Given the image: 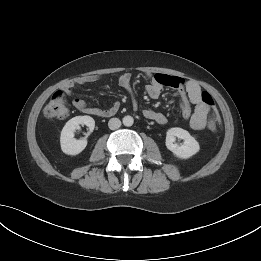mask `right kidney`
Returning a JSON list of instances; mask_svg holds the SVG:
<instances>
[{
	"mask_svg": "<svg viewBox=\"0 0 261 261\" xmlns=\"http://www.w3.org/2000/svg\"><path fill=\"white\" fill-rule=\"evenodd\" d=\"M80 125H86L89 127L90 132L94 130L95 121L90 116H76L70 119L61 131L60 144L61 149L65 154L77 155L82 152L87 146L86 139L76 140L74 138V132L79 129Z\"/></svg>",
	"mask_w": 261,
	"mask_h": 261,
	"instance_id": "1",
	"label": "right kidney"
}]
</instances>
